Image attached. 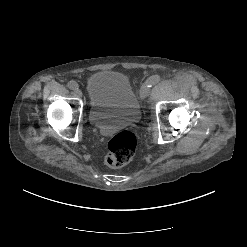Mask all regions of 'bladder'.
I'll return each instance as SVG.
<instances>
[{
  "instance_id": "obj_1",
  "label": "bladder",
  "mask_w": 247,
  "mask_h": 247,
  "mask_svg": "<svg viewBox=\"0 0 247 247\" xmlns=\"http://www.w3.org/2000/svg\"><path fill=\"white\" fill-rule=\"evenodd\" d=\"M88 117L101 133L126 127L138 119L140 103L129 78L119 72L101 71L87 81Z\"/></svg>"
}]
</instances>
